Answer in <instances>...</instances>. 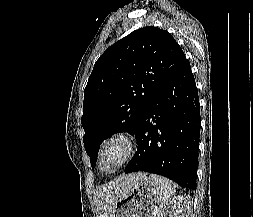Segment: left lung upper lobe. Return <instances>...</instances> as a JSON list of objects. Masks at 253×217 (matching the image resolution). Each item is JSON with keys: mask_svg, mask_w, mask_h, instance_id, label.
<instances>
[{"mask_svg": "<svg viewBox=\"0 0 253 217\" xmlns=\"http://www.w3.org/2000/svg\"><path fill=\"white\" fill-rule=\"evenodd\" d=\"M184 60L173 36L152 26L133 31L100 56L84 89L81 117L92 169L101 143L118 132L133 135L154 96Z\"/></svg>", "mask_w": 253, "mask_h": 217, "instance_id": "left-lung-upper-lobe-1", "label": "left lung upper lobe"}]
</instances>
